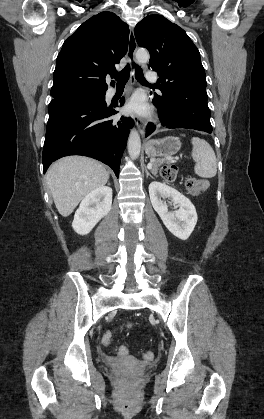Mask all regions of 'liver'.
I'll use <instances>...</instances> for the list:
<instances>
[{
    "label": "liver",
    "mask_w": 264,
    "mask_h": 419,
    "mask_svg": "<svg viewBox=\"0 0 264 419\" xmlns=\"http://www.w3.org/2000/svg\"><path fill=\"white\" fill-rule=\"evenodd\" d=\"M46 179L57 210L67 217L86 195L107 183L109 173L97 160L67 156L51 165Z\"/></svg>",
    "instance_id": "liver-1"
}]
</instances>
